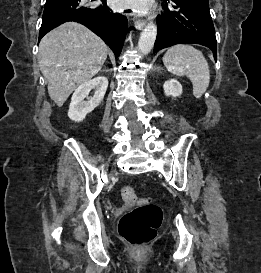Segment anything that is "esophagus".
I'll list each match as a JSON object with an SVG mask.
<instances>
[{"instance_id": "34e87169", "label": "esophagus", "mask_w": 261, "mask_h": 273, "mask_svg": "<svg viewBox=\"0 0 261 273\" xmlns=\"http://www.w3.org/2000/svg\"><path fill=\"white\" fill-rule=\"evenodd\" d=\"M134 24L136 29L140 30L145 26L146 22L145 20L137 19Z\"/></svg>"}]
</instances>
